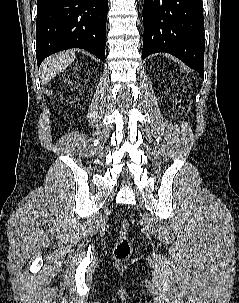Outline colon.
I'll return each instance as SVG.
<instances>
[{"instance_id": "1", "label": "colon", "mask_w": 239, "mask_h": 303, "mask_svg": "<svg viewBox=\"0 0 239 303\" xmlns=\"http://www.w3.org/2000/svg\"><path fill=\"white\" fill-rule=\"evenodd\" d=\"M129 230L130 222L127 219H123L119 225L118 242L114 250V256L118 261L126 260L131 253Z\"/></svg>"}]
</instances>
